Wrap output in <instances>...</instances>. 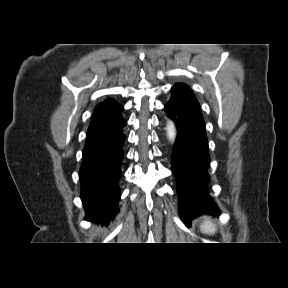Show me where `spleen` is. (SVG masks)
<instances>
[{
  "label": "spleen",
  "instance_id": "3e777b00",
  "mask_svg": "<svg viewBox=\"0 0 288 288\" xmlns=\"http://www.w3.org/2000/svg\"><path fill=\"white\" fill-rule=\"evenodd\" d=\"M200 230L202 233L207 235H213L217 232L216 225L210 218H205L203 223L200 225Z\"/></svg>",
  "mask_w": 288,
  "mask_h": 288
}]
</instances>
